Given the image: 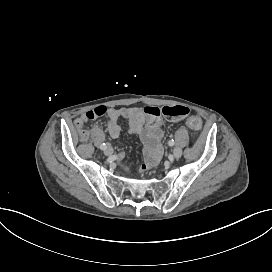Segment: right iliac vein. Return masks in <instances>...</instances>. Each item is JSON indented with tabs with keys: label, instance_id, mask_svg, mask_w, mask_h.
Returning <instances> with one entry per match:
<instances>
[{
	"label": "right iliac vein",
	"instance_id": "63e3f726",
	"mask_svg": "<svg viewBox=\"0 0 272 272\" xmlns=\"http://www.w3.org/2000/svg\"><path fill=\"white\" fill-rule=\"evenodd\" d=\"M104 154H105L106 156L112 155V154H113V149H112L111 147L106 148V149L104 150Z\"/></svg>",
	"mask_w": 272,
	"mask_h": 272
}]
</instances>
